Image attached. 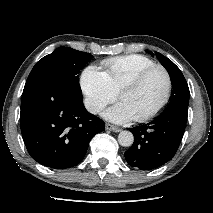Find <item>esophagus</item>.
Returning <instances> with one entry per match:
<instances>
[{
	"mask_svg": "<svg viewBox=\"0 0 213 213\" xmlns=\"http://www.w3.org/2000/svg\"><path fill=\"white\" fill-rule=\"evenodd\" d=\"M105 129H106V130L113 131V132H120V131H121V129H120L119 127L114 126V125L109 124V123H107V124L105 125Z\"/></svg>",
	"mask_w": 213,
	"mask_h": 213,
	"instance_id": "34e87169",
	"label": "esophagus"
}]
</instances>
